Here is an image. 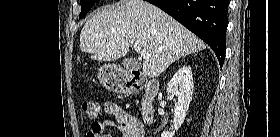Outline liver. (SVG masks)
<instances>
[{"label":"liver","mask_w":280,"mask_h":137,"mask_svg":"<svg viewBox=\"0 0 280 137\" xmlns=\"http://www.w3.org/2000/svg\"><path fill=\"white\" fill-rule=\"evenodd\" d=\"M149 53L143 74L154 78L184 55L202 51L205 44L170 15L144 0H125L89 19L80 33V48L93 60L114 61L132 44Z\"/></svg>","instance_id":"obj_1"}]
</instances>
